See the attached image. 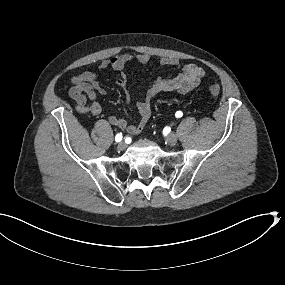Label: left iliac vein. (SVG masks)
<instances>
[{
    "mask_svg": "<svg viewBox=\"0 0 285 285\" xmlns=\"http://www.w3.org/2000/svg\"><path fill=\"white\" fill-rule=\"evenodd\" d=\"M166 142L170 146L176 145V143H177V135L174 134V133L168 134V136L166 137Z\"/></svg>",
    "mask_w": 285,
    "mask_h": 285,
    "instance_id": "4c4485c4",
    "label": "left iliac vein"
}]
</instances>
